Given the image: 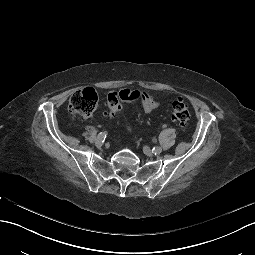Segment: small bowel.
Returning a JSON list of instances; mask_svg holds the SVG:
<instances>
[{
    "mask_svg": "<svg viewBox=\"0 0 255 255\" xmlns=\"http://www.w3.org/2000/svg\"><path fill=\"white\" fill-rule=\"evenodd\" d=\"M140 99H141V106L144 112L146 113H151L157 110L160 106V103L156 100V98L147 92L141 93Z\"/></svg>",
    "mask_w": 255,
    "mask_h": 255,
    "instance_id": "1",
    "label": "small bowel"
}]
</instances>
